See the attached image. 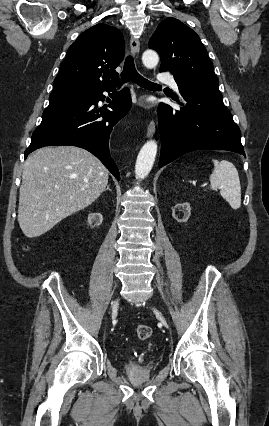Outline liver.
Returning <instances> with one entry per match:
<instances>
[{
	"mask_svg": "<svg viewBox=\"0 0 269 426\" xmlns=\"http://www.w3.org/2000/svg\"><path fill=\"white\" fill-rule=\"evenodd\" d=\"M108 171L90 152L75 146L44 147L23 167L18 222L36 238L91 205L106 189Z\"/></svg>",
	"mask_w": 269,
	"mask_h": 426,
	"instance_id": "liver-1",
	"label": "liver"
}]
</instances>
